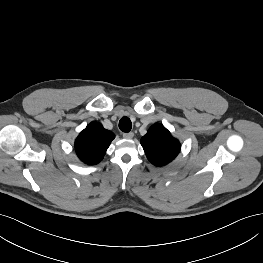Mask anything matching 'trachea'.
Wrapping results in <instances>:
<instances>
[{
	"label": "trachea",
	"mask_w": 263,
	"mask_h": 263,
	"mask_svg": "<svg viewBox=\"0 0 263 263\" xmlns=\"http://www.w3.org/2000/svg\"><path fill=\"white\" fill-rule=\"evenodd\" d=\"M132 128L131 120L128 117H123L119 121V129L125 133L130 132Z\"/></svg>",
	"instance_id": "obj_1"
}]
</instances>
